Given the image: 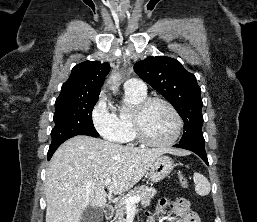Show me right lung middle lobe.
Listing matches in <instances>:
<instances>
[{
    "label": "right lung middle lobe",
    "mask_w": 257,
    "mask_h": 222,
    "mask_svg": "<svg viewBox=\"0 0 257 222\" xmlns=\"http://www.w3.org/2000/svg\"><path fill=\"white\" fill-rule=\"evenodd\" d=\"M98 96L65 99L55 102L53 120L55 127L51 131V145H56L76 135L98 137L92 122V110Z\"/></svg>",
    "instance_id": "dd1d6c3e"
}]
</instances>
